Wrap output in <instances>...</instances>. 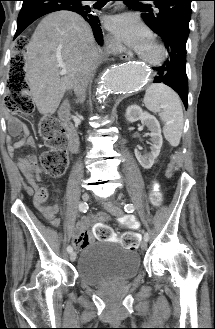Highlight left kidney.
I'll return each instance as SVG.
<instances>
[{"label":"left kidney","instance_id":"1","mask_svg":"<svg viewBox=\"0 0 215 329\" xmlns=\"http://www.w3.org/2000/svg\"><path fill=\"white\" fill-rule=\"evenodd\" d=\"M126 119L133 123L138 120L143 125L147 126L150 130L151 136V152L146 155H142L137 149H135V156L144 169H150L155 162V159L159 156L160 150L163 144V138L161 135V128L158 120L148 112L143 111L137 105H131L126 110Z\"/></svg>","mask_w":215,"mask_h":329}]
</instances>
